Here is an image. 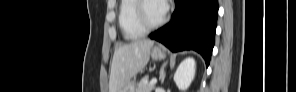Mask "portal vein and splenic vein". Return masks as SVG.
<instances>
[{
	"label": "portal vein and splenic vein",
	"mask_w": 296,
	"mask_h": 92,
	"mask_svg": "<svg viewBox=\"0 0 296 92\" xmlns=\"http://www.w3.org/2000/svg\"><path fill=\"white\" fill-rule=\"evenodd\" d=\"M157 83V79L156 78H154V79H152L151 81H150V84L151 85H155Z\"/></svg>",
	"instance_id": "portal-vein-and-splenic-vein-1"
}]
</instances>
